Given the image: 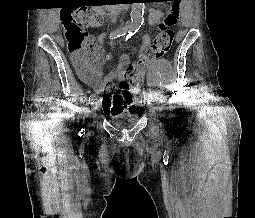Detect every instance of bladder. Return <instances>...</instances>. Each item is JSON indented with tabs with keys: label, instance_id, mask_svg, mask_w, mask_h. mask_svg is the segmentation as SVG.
Segmentation results:
<instances>
[{
	"label": "bladder",
	"instance_id": "bladder-1",
	"mask_svg": "<svg viewBox=\"0 0 255 218\" xmlns=\"http://www.w3.org/2000/svg\"><path fill=\"white\" fill-rule=\"evenodd\" d=\"M108 119L119 129H129L135 125L138 115L134 112L114 113L110 114Z\"/></svg>",
	"mask_w": 255,
	"mask_h": 218
}]
</instances>
